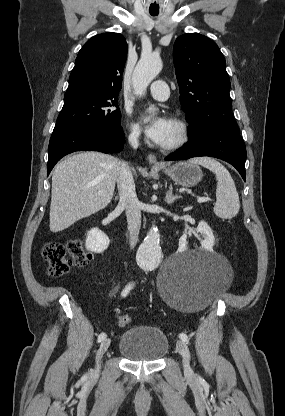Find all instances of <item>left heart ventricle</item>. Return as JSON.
<instances>
[{
  "label": "left heart ventricle",
  "mask_w": 285,
  "mask_h": 416,
  "mask_svg": "<svg viewBox=\"0 0 285 416\" xmlns=\"http://www.w3.org/2000/svg\"><path fill=\"white\" fill-rule=\"evenodd\" d=\"M175 135H176L175 129H174L173 125L171 124V130H170L169 136L167 137V139L165 140L163 145H166V144H169L170 142H172L175 138Z\"/></svg>",
  "instance_id": "left-heart-ventricle-1"
}]
</instances>
